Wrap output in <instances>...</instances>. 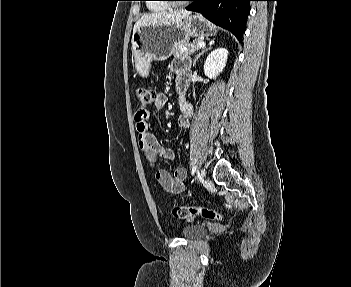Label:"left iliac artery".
<instances>
[{
	"label": "left iliac artery",
	"instance_id": "left-iliac-artery-1",
	"mask_svg": "<svg viewBox=\"0 0 351 287\" xmlns=\"http://www.w3.org/2000/svg\"><path fill=\"white\" fill-rule=\"evenodd\" d=\"M196 171H197V167H196V166H193V168H192V170H191V174L194 175Z\"/></svg>",
	"mask_w": 351,
	"mask_h": 287
}]
</instances>
